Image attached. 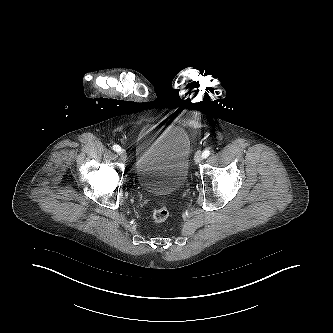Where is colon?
Returning <instances> with one entry per match:
<instances>
[{
	"label": "colon",
	"mask_w": 333,
	"mask_h": 333,
	"mask_svg": "<svg viewBox=\"0 0 333 333\" xmlns=\"http://www.w3.org/2000/svg\"><path fill=\"white\" fill-rule=\"evenodd\" d=\"M168 216L169 211L167 205L166 203H162V205L153 212V221L155 223H162L167 220Z\"/></svg>",
	"instance_id": "5ec220e1"
}]
</instances>
